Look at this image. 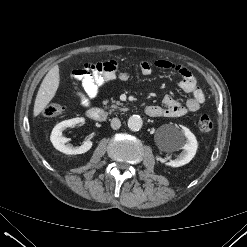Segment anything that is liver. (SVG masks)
Wrapping results in <instances>:
<instances>
[{"label":"liver","instance_id":"liver-1","mask_svg":"<svg viewBox=\"0 0 247 247\" xmlns=\"http://www.w3.org/2000/svg\"><path fill=\"white\" fill-rule=\"evenodd\" d=\"M60 76L58 65L53 66L44 77L34 103L33 115L38 116L53 99L59 87Z\"/></svg>","mask_w":247,"mask_h":247}]
</instances>
